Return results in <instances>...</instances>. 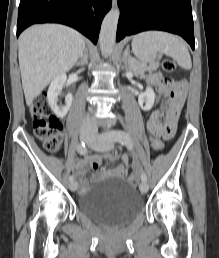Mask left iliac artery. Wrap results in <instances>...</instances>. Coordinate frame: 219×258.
<instances>
[{
  "mask_svg": "<svg viewBox=\"0 0 219 258\" xmlns=\"http://www.w3.org/2000/svg\"><path fill=\"white\" fill-rule=\"evenodd\" d=\"M106 139L109 141L119 142L122 145H125L129 150L134 151L133 142L130 135L122 130H116V131L110 132L107 135ZM141 180L144 182L147 181V176L144 171L141 172Z\"/></svg>",
  "mask_w": 219,
  "mask_h": 258,
  "instance_id": "obj_1",
  "label": "left iliac artery"
}]
</instances>
